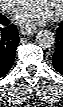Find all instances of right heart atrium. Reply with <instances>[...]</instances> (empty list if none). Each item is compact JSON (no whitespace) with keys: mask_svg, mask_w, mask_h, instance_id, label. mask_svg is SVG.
<instances>
[{"mask_svg":"<svg viewBox=\"0 0 63 107\" xmlns=\"http://www.w3.org/2000/svg\"><path fill=\"white\" fill-rule=\"evenodd\" d=\"M22 1L20 0H4L3 6L8 11H15L20 5Z\"/></svg>","mask_w":63,"mask_h":107,"instance_id":"d8ad5b80","label":"right heart atrium"}]
</instances>
